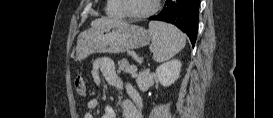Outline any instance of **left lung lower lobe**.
Wrapping results in <instances>:
<instances>
[{
    "mask_svg": "<svg viewBox=\"0 0 273 118\" xmlns=\"http://www.w3.org/2000/svg\"><path fill=\"white\" fill-rule=\"evenodd\" d=\"M199 4L200 0H166L164 9L149 20L174 24L188 35L194 46L198 30Z\"/></svg>",
    "mask_w": 273,
    "mask_h": 118,
    "instance_id": "left-lung-lower-lobe-1",
    "label": "left lung lower lobe"
}]
</instances>
